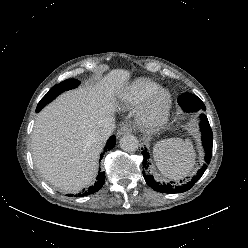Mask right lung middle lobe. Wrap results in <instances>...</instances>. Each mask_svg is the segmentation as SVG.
<instances>
[{"instance_id": "obj_1", "label": "right lung middle lobe", "mask_w": 248, "mask_h": 248, "mask_svg": "<svg viewBox=\"0 0 248 248\" xmlns=\"http://www.w3.org/2000/svg\"><path fill=\"white\" fill-rule=\"evenodd\" d=\"M79 84H80V81H78L77 79H68L53 86L49 90V92L41 99V101L39 102L36 108V111L37 109L38 111L41 110L46 104L51 102L56 96H58L62 92L66 90H70L72 88H76Z\"/></svg>"}]
</instances>
